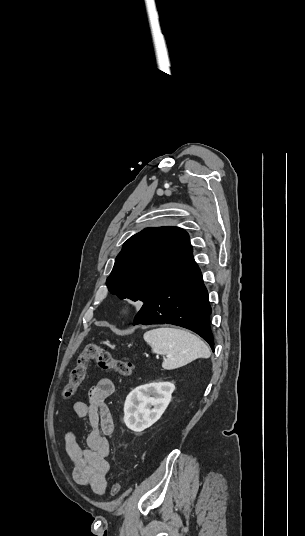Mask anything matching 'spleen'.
Here are the masks:
<instances>
[{
	"label": "spleen",
	"instance_id": "spleen-1",
	"mask_svg": "<svg viewBox=\"0 0 305 536\" xmlns=\"http://www.w3.org/2000/svg\"><path fill=\"white\" fill-rule=\"evenodd\" d=\"M153 354H163L165 358L162 368L175 370L190 364L197 358H209L210 350L200 338L190 334L188 330L177 328H157L145 332L143 336Z\"/></svg>",
	"mask_w": 305,
	"mask_h": 536
}]
</instances>
